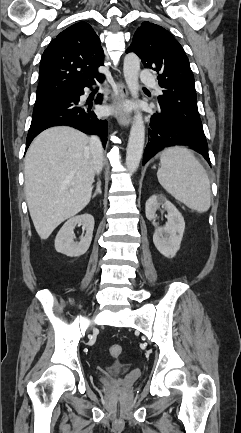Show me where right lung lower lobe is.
I'll return each mask as SVG.
<instances>
[{
    "instance_id": "obj_1",
    "label": "right lung lower lobe",
    "mask_w": 241,
    "mask_h": 433,
    "mask_svg": "<svg viewBox=\"0 0 241 433\" xmlns=\"http://www.w3.org/2000/svg\"><path fill=\"white\" fill-rule=\"evenodd\" d=\"M104 77L98 79L102 82ZM91 83L86 86H76L65 91V97L46 108L33 113L32 122L28 131L26 140V149L31 141L43 130L59 125L74 127L84 133L97 134L101 137L103 144L106 143L107 137V121L97 118L96 114L91 110V105L86 107L79 105L80 96L83 95L84 87H91ZM101 95L95 100L96 103L101 102Z\"/></svg>"
}]
</instances>
